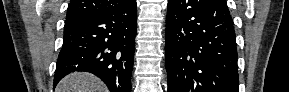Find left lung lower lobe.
Masks as SVG:
<instances>
[{
  "instance_id": "0a47b994",
  "label": "left lung lower lobe",
  "mask_w": 289,
  "mask_h": 92,
  "mask_svg": "<svg viewBox=\"0 0 289 92\" xmlns=\"http://www.w3.org/2000/svg\"><path fill=\"white\" fill-rule=\"evenodd\" d=\"M168 92H238L237 48L226 0H168Z\"/></svg>"
}]
</instances>
